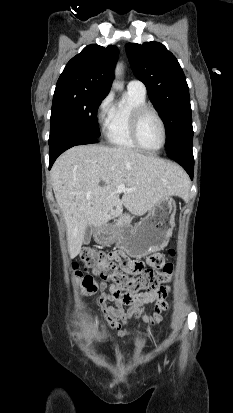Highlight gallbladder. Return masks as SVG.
<instances>
[{
  "mask_svg": "<svg viewBox=\"0 0 233 413\" xmlns=\"http://www.w3.org/2000/svg\"><path fill=\"white\" fill-rule=\"evenodd\" d=\"M91 235H92V230H91V227L88 226V227L86 228V230H85V233H84V239H83V243H84V244L87 245V244L90 243Z\"/></svg>",
  "mask_w": 233,
  "mask_h": 413,
  "instance_id": "bac80fb5",
  "label": "gallbladder"
}]
</instances>
